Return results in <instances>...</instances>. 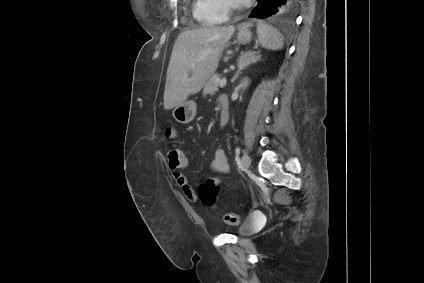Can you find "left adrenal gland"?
<instances>
[{
  "label": "left adrenal gland",
  "mask_w": 424,
  "mask_h": 283,
  "mask_svg": "<svg viewBox=\"0 0 424 283\" xmlns=\"http://www.w3.org/2000/svg\"><path fill=\"white\" fill-rule=\"evenodd\" d=\"M260 60L261 55L259 54V52L256 51H248L244 55H242L238 61V70L232 78V82H234L239 77V75L244 69Z\"/></svg>",
  "instance_id": "1"
}]
</instances>
